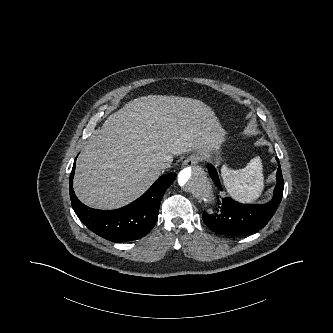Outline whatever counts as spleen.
<instances>
[{
  "instance_id": "1",
  "label": "spleen",
  "mask_w": 333,
  "mask_h": 333,
  "mask_svg": "<svg viewBox=\"0 0 333 333\" xmlns=\"http://www.w3.org/2000/svg\"><path fill=\"white\" fill-rule=\"evenodd\" d=\"M221 176L229 195L241 203L255 202L264 189L263 165L259 156L239 170L224 166Z\"/></svg>"
}]
</instances>
